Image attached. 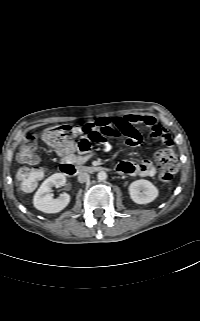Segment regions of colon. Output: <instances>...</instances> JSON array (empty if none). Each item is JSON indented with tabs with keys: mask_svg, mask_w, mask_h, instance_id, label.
I'll list each match as a JSON object with an SVG mask.
<instances>
[{
	"mask_svg": "<svg viewBox=\"0 0 200 321\" xmlns=\"http://www.w3.org/2000/svg\"><path fill=\"white\" fill-rule=\"evenodd\" d=\"M107 136H113V132L109 128L95 129L88 124L85 126L56 125L47 128L43 133L44 141L60 152H68L73 148H77L80 152H86L92 144L104 142ZM18 156L24 163L37 164L39 156L34 136H27L23 140ZM156 159L160 168V181H171L178 170V160L175 153L171 149H167L160 153ZM43 174L44 169L40 166L24 167L18 172V178L26 189H32Z\"/></svg>",
	"mask_w": 200,
	"mask_h": 321,
	"instance_id": "1",
	"label": "colon"
}]
</instances>
